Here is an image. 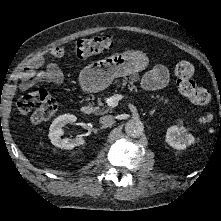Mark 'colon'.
Instances as JSON below:
<instances>
[{
  "label": "colon",
  "instance_id": "1",
  "mask_svg": "<svg viewBox=\"0 0 221 221\" xmlns=\"http://www.w3.org/2000/svg\"><path fill=\"white\" fill-rule=\"evenodd\" d=\"M114 45L110 36H95L82 39L75 46V55L88 58L103 53ZM177 88L179 92L190 101L198 105L207 104L210 100L209 92L198 86L194 80L195 67L189 61L179 62L174 69ZM21 114L28 115L29 122L39 124L49 120L57 111V100L46 88H38L32 93L22 96L17 103Z\"/></svg>",
  "mask_w": 221,
  "mask_h": 221
}]
</instances>
